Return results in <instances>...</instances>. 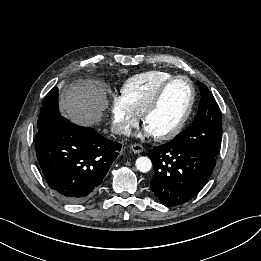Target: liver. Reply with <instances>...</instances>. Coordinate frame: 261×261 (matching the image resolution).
I'll return each mask as SVG.
<instances>
[{
	"instance_id": "liver-1",
	"label": "liver",
	"mask_w": 261,
	"mask_h": 261,
	"mask_svg": "<svg viewBox=\"0 0 261 261\" xmlns=\"http://www.w3.org/2000/svg\"><path fill=\"white\" fill-rule=\"evenodd\" d=\"M107 104L105 88L91 79L65 87L59 98L62 115L83 126L98 123Z\"/></svg>"
}]
</instances>
